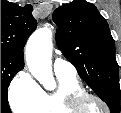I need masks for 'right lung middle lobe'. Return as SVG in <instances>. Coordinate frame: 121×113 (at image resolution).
I'll return each instance as SVG.
<instances>
[{
    "label": "right lung middle lobe",
    "instance_id": "dd1d6c3e",
    "mask_svg": "<svg viewBox=\"0 0 121 113\" xmlns=\"http://www.w3.org/2000/svg\"><path fill=\"white\" fill-rule=\"evenodd\" d=\"M23 67L22 62L1 56V113H11L7 99L8 86L14 75Z\"/></svg>",
    "mask_w": 121,
    "mask_h": 113
}]
</instances>
